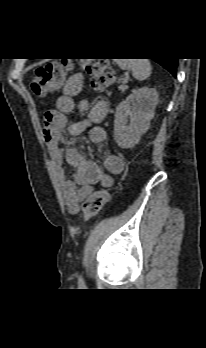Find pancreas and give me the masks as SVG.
<instances>
[{
	"mask_svg": "<svg viewBox=\"0 0 206 348\" xmlns=\"http://www.w3.org/2000/svg\"><path fill=\"white\" fill-rule=\"evenodd\" d=\"M118 89L121 91V93L125 92L127 90V86L124 82L118 87Z\"/></svg>",
	"mask_w": 206,
	"mask_h": 348,
	"instance_id": "cf45deb5",
	"label": "pancreas"
}]
</instances>
